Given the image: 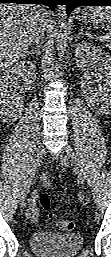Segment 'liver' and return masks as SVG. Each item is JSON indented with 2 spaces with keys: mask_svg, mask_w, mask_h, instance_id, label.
Returning a JSON list of instances; mask_svg holds the SVG:
<instances>
[{
  "mask_svg": "<svg viewBox=\"0 0 111 257\" xmlns=\"http://www.w3.org/2000/svg\"><path fill=\"white\" fill-rule=\"evenodd\" d=\"M48 17L49 12L38 5L1 4V68L12 65L27 53L37 27H45Z\"/></svg>",
  "mask_w": 111,
  "mask_h": 257,
  "instance_id": "6515ba94",
  "label": "liver"
}]
</instances>
